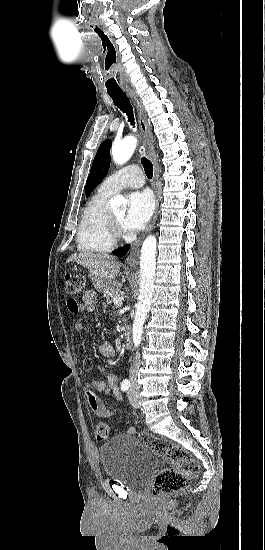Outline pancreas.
I'll use <instances>...</instances> for the list:
<instances>
[{"instance_id": "cf45deb5", "label": "pancreas", "mask_w": 265, "mask_h": 550, "mask_svg": "<svg viewBox=\"0 0 265 550\" xmlns=\"http://www.w3.org/2000/svg\"><path fill=\"white\" fill-rule=\"evenodd\" d=\"M120 289L121 285L117 282H113L112 285L104 289L103 295L106 297L108 303H111L115 296H119Z\"/></svg>"}]
</instances>
